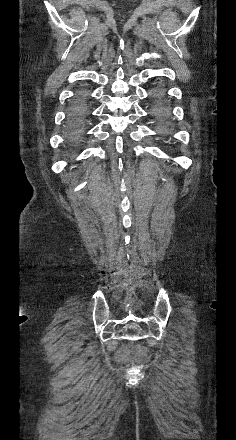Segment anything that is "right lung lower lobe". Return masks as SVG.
<instances>
[{
    "mask_svg": "<svg viewBox=\"0 0 236 440\" xmlns=\"http://www.w3.org/2000/svg\"><path fill=\"white\" fill-rule=\"evenodd\" d=\"M81 105H83V100L80 96L76 97L73 102V107L71 108L68 114V126L76 125L81 122L82 118H79L78 109H80Z\"/></svg>",
    "mask_w": 236,
    "mask_h": 440,
    "instance_id": "right-lung-lower-lobe-1",
    "label": "right lung lower lobe"
}]
</instances>
